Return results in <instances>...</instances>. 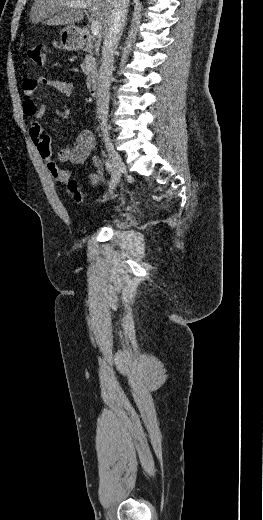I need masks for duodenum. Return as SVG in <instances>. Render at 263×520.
Instances as JSON below:
<instances>
[{"mask_svg": "<svg viewBox=\"0 0 263 520\" xmlns=\"http://www.w3.org/2000/svg\"><path fill=\"white\" fill-rule=\"evenodd\" d=\"M82 48L86 51L93 49V43L91 37L87 31L82 33L81 40ZM86 87L90 95L95 96L98 89V73L96 70H91L86 77Z\"/></svg>", "mask_w": 263, "mask_h": 520, "instance_id": "1", "label": "duodenum"}]
</instances>
